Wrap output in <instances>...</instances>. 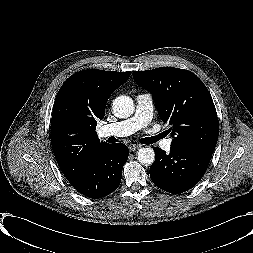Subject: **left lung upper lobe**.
Here are the masks:
<instances>
[{"mask_svg": "<svg viewBox=\"0 0 253 253\" xmlns=\"http://www.w3.org/2000/svg\"><path fill=\"white\" fill-rule=\"evenodd\" d=\"M133 78L149 90L159 116L171 125V146L214 152L219 125L212 97L192 72L174 67L134 71Z\"/></svg>", "mask_w": 253, "mask_h": 253, "instance_id": "5c2ea615", "label": "left lung upper lobe"}]
</instances>
